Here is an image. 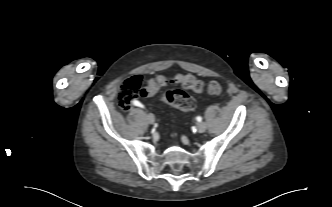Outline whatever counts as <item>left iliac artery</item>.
I'll return each instance as SVG.
<instances>
[{
	"label": "left iliac artery",
	"mask_w": 332,
	"mask_h": 207,
	"mask_svg": "<svg viewBox=\"0 0 332 207\" xmlns=\"http://www.w3.org/2000/svg\"><path fill=\"white\" fill-rule=\"evenodd\" d=\"M196 120L199 121V122H201L202 121V117L201 116H197Z\"/></svg>",
	"instance_id": "44dca946"
}]
</instances>
